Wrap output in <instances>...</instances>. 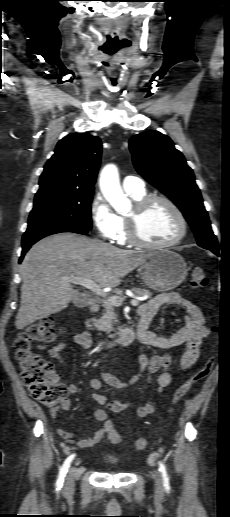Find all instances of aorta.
<instances>
[{"label": "aorta", "instance_id": "obj_1", "mask_svg": "<svg viewBox=\"0 0 230 517\" xmlns=\"http://www.w3.org/2000/svg\"><path fill=\"white\" fill-rule=\"evenodd\" d=\"M99 185L102 194L117 212L125 210L130 204L121 188L118 169L114 164H108L102 169Z\"/></svg>", "mask_w": 230, "mask_h": 517}]
</instances>
